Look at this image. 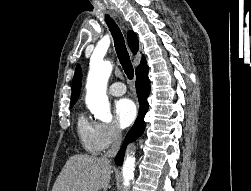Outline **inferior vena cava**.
Segmentation results:
<instances>
[{
  "label": "inferior vena cava",
  "mask_w": 251,
  "mask_h": 191,
  "mask_svg": "<svg viewBox=\"0 0 251 191\" xmlns=\"http://www.w3.org/2000/svg\"><path fill=\"white\" fill-rule=\"evenodd\" d=\"M112 137H113L112 147H110V149H108V151H106V153H104L102 157V161H104V163H110V157H115L121 145L122 141L121 129L119 125H117V123L113 127Z\"/></svg>",
  "instance_id": "602c4592"
}]
</instances>
